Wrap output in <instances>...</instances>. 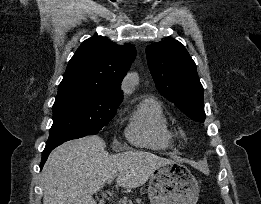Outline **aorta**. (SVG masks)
Returning a JSON list of instances; mask_svg holds the SVG:
<instances>
[{
    "label": "aorta",
    "instance_id": "762f6f07",
    "mask_svg": "<svg viewBox=\"0 0 261 204\" xmlns=\"http://www.w3.org/2000/svg\"><path fill=\"white\" fill-rule=\"evenodd\" d=\"M138 83L137 73H129L123 81V90L126 94L132 93Z\"/></svg>",
    "mask_w": 261,
    "mask_h": 204
}]
</instances>
